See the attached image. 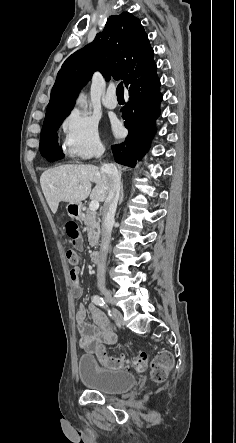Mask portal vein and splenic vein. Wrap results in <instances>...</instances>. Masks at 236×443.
<instances>
[{
    "instance_id": "1",
    "label": "portal vein and splenic vein",
    "mask_w": 236,
    "mask_h": 443,
    "mask_svg": "<svg viewBox=\"0 0 236 443\" xmlns=\"http://www.w3.org/2000/svg\"><path fill=\"white\" fill-rule=\"evenodd\" d=\"M79 188H82L81 186H79ZM99 208V201L97 200H93L91 201L90 205H89V209L91 212H96Z\"/></svg>"
}]
</instances>
